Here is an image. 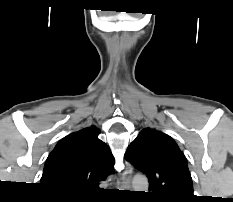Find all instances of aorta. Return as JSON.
Wrapping results in <instances>:
<instances>
[{"label": "aorta", "mask_w": 233, "mask_h": 202, "mask_svg": "<svg viewBox=\"0 0 233 202\" xmlns=\"http://www.w3.org/2000/svg\"><path fill=\"white\" fill-rule=\"evenodd\" d=\"M133 187L137 191H143L148 189V181L145 177H135L133 180Z\"/></svg>", "instance_id": "aorta-1"}]
</instances>
